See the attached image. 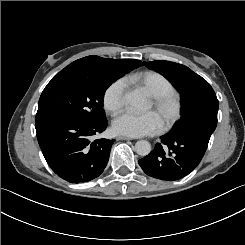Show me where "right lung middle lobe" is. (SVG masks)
<instances>
[{
	"label": "right lung middle lobe",
	"mask_w": 245,
	"mask_h": 245,
	"mask_svg": "<svg viewBox=\"0 0 245 245\" xmlns=\"http://www.w3.org/2000/svg\"><path fill=\"white\" fill-rule=\"evenodd\" d=\"M135 67L88 57L66 66L43 90L35 122L67 118L91 123L105 120L103 97L112 82Z\"/></svg>",
	"instance_id": "right-lung-middle-lobe-1"
}]
</instances>
